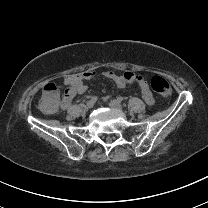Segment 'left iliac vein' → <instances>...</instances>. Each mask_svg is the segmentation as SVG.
I'll use <instances>...</instances> for the list:
<instances>
[{"label":"left iliac vein","mask_w":208,"mask_h":208,"mask_svg":"<svg viewBox=\"0 0 208 208\" xmlns=\"http://www.w3.org/2000/svg\"><path fill=\"white\" fill-rule=\"evenodd\" d=\"M108 105L110 107L115 108V109H118V110H122L123 109V106L118 101H116V100L110 101Z\"/></svg>","instance_id":"left-iliac-vein-1"}]
</instances>
